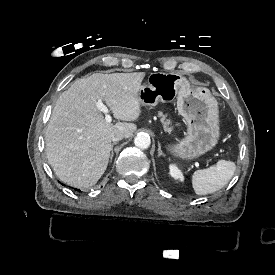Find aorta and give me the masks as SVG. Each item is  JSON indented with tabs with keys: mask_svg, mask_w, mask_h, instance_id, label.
<instances>
[{
	"mask_svg": "<svg viewBox=\"0 0 275 275\" xmlns=\"http://www.w3.org/2000/svg\"><path fill=\"white\" fill-rule=\"evenodd\" d=\"M134 144L140 149H147L151 144V140L147 134H139L134 138Z\"/></svg>",
	"mask_w": 275,
	"mask_h": 275,
	"instance_id": "obj_1",
	"label": "aorta"
}]
</instances>
